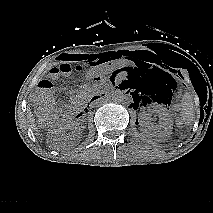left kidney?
Segmentation results:
<instances>
[{
  "label": "left kidney",
  "instance_id": "obj_1",
  "mask_svg": "<svg viewBox=\"0 0 213 213\" xmlns=\"http://www.w3.org/2000/svg\"><path fill=\"white\" fill-rule=\"evenodd\" d=\"M148 112L156 114L159 121L158 123H154L148 120L146 116H142L140 126L143 132L154 137L166 138L169 136L172 130V118L168 110L165 107L157 106Z\"/></svg>",
  "mask_w": 213,
  "mask_h": 213
}]
</instances>
